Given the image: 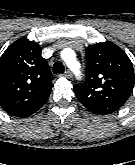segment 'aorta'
Here are the masks:
<instances>
[{
	"label": "aorta",
	"mask_w": 135,
	"mask_h": 165,
	"mask_svg": "<svg viewBox=\"0 0 135 165\" xmlns=\"http://www.w3.org/2000/svg\"><path fill=\"white\" fill-rule=\"evenodd\" d=\"M62 58L67 63L69 68L78 73V70L76 69V65L78 64V62L75 60L74 52L71 49H65L62 52Z\"/></svg>",
	"instance_id": "aorta-1"
}]
</instances>
